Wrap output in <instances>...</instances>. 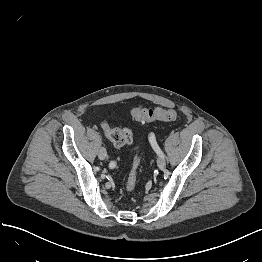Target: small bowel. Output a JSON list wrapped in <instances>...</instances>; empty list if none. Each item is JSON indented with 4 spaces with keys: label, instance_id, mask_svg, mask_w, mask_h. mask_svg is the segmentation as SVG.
<instances>
[{
    "label": "small bowel",
    "instance_id": "c3829d8e",
    "mask_svg": "<svg viewBox=\"0 0 262 262\" xmlns=\"http://www.w3.org/2000/svg\"><path fill=\"white\" fill-rule=\"evenodd\" d=\"M149 141H150V144L152 145V141L154 142H157L156 141V137L153 133H150L149 135ZM110 167V166H109ZM116 167V163L114 165H112V167H110L111 169H114Z\"/></svg>",
    "mask_w": 262,
    "mask_h": 262
}]
</instances>
